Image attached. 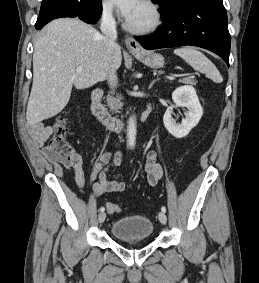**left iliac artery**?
Wrapping results in <instances>:
<instances>
[{
  "mask_svg": "<svg viewBox=\"0 0 259 283\" xmlns=\"http://www.w3.org/2000/svg\"><path fill=\"white\" fill-rule=\"evenodd\" d=\"M161 210H162V212H166V207L165 206H162V208H161Z\"/></svg>",
  "mask_w": 259,
  "mask_h": 283,
  "instance_id": "1",
  "label": "left iliac artery"
}]
</instances>
